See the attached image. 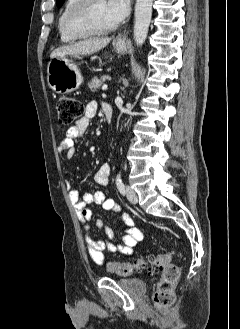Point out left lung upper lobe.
<instances>
[{
    "label": "left lung upper lobe",
    "instance_id": "obj_1",
    "mask_svg": "<svg viewBox=\"0 0 240 329\" xmlns=\"http://www.w3.org/2000/svg\"><path fill=\"white\" fill-rule=\"evenodd\" d=\"M64 0H57V7H61Z\"/></svg>",
    "mask_w": 240,
    "mask_h": 329
}]
</instances>
